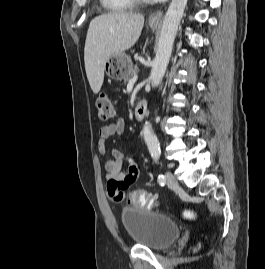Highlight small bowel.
Instances as JSON below:
<instances>
[{
    "label": "small bowel",
    "instance_id": "obj_1",
    "mask_svg": "<svg viewBox=\"0 0 265 269\" xmlns=\"http://www.w3.org/2000/svg\"><path fill=\"white\" fill-rule=\"evenodd\" d=\"M125 123L122 119L114 123L102 126L99 131L97 143L98 152L102 155L109 153L110 158L105 161V176L108 184L109 195L113 202H121L124 190L138 182L142 175L140 165L132 158L126 156L118 149L108 150L105 141L114 135H121ZM128 161V167L124 169V162Z\"/></svg>",
    "mask_w": 265,
    "mask_h": 269
}]
</instances>
